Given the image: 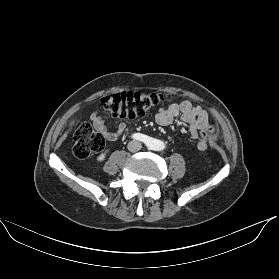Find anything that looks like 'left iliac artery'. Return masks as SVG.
<instances>
[{
	"label": "left iliac artery",
	"instance_id": "left-iliac-artery-1",
	"mask_svg": "<svg viewBox=\"0 0 279 279\" xmlns=\"http://www.w3.org/2000/svg\"><path fill=\"white\" fill-rule=\"evenodd\" d=\"M147 142H148V145L154 146V143H153V141L151 139H147Z\"/></svg>",
	"mask_w": 279,
	"mask_h": 279
}]
</instances>
